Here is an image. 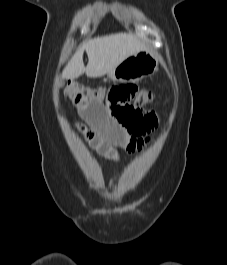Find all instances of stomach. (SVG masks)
<instances>
[{"label": "stomach", "mask_w": 227, "mask_h": 265, "mask_svg": "<svg viewBox=\"0 0 227 265\" xmlns=\"http://www.w3.org/2000/svg\"><path fill=\"white\" fill-rule=\"evenodd\" d=\"M158 59L149 50H142L127 57L107 73L114 82H136L153 75L158 69Z\"/></svg>", "instance_id": "obj_1"}]
</instances>
